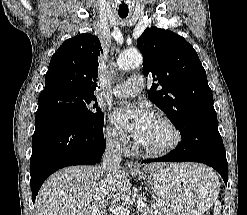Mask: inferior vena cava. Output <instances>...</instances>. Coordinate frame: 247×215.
Returning a JSON list of instances; mask_svg holds the SVG:
<instances>
[{
  "label": "inferior vena cava",
  "instance_id": "obj_1",
  "mask_svg": "<svg viewBox=\"0 0 247 215\" xmlns=\"http://www.w3.org/2000/svg\"><path fill=\"white\" fill-rule=\"evenodd\" d=\"M121 153L122 144L120 140L117 138L108 139L100 168L104 177L110 182H114L118 176V171L121 168Z\"/></svg>",
  "mask_w": 247,
  "mask_h": 215
}]
</instances>
